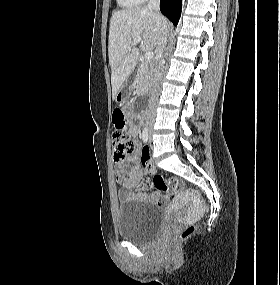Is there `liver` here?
Segmentation results:
<instances>
[{"instance_id": "liver-1", "label": "liver", "mask_w": 280, "mask_h": 285, "mask_svg": "<svg viewBox=\"0 0 280 285\" xmlns=\"http://www.w3.org/2000/svg\"><path fill=\"white\" fill-rule=\"evenodd\" d=\"M161 17V27L168 32L170 24L166 18ZM159 31L154 11L146 7L128 8L113 13L108 41L113 99L136 67L140 49L147 52L157 47ZM136 37L142 38L140 48L131 47L129 50L128 46L134 45Z\"/></svg>"}]
</instances>
